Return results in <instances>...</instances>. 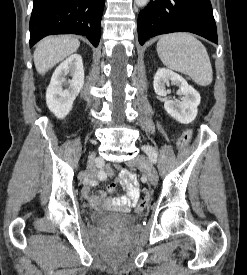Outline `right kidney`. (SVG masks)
Returning a JSON list of instances; mask_svg holds the SVG:
<instances>
[{
	"label": "right kidney",
	"mask_w": 247,
	"mask_h": 275,
	"mask_svg": "<svg viewBox=\"0 0 247 275\" xmlns=\"http://www.w3.org/2000/svg\"><path fill=\"white\" fill-rule=\"evenodd\" d=\"M71 76L72 79L66 78ZM84 85L82 57L69 56L54 71L46 91L49 110L59 119L65 118L72 109L73 102ZM66 87V88H64Z\"/></svg>",
	"instance_id": "obj_1"
}]
</instances>
